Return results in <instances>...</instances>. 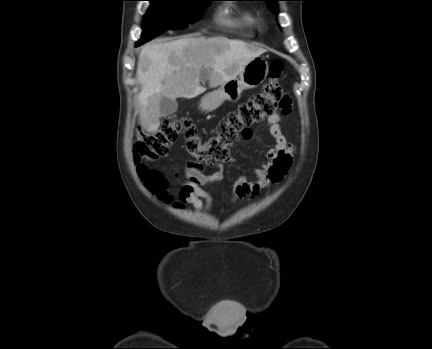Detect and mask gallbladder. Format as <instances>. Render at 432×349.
<instances>
[{
    "instance_id": "obj_1",
    "label": "gallbladder",
    "mask_w": 432,
    "mask_h": 349,
    "mask_svg": "<svg viewBox=\"0 0 432 349\" xmlns=\"http://www.w3.org/2000/svg\"><path fill=\"white\" fill-rule=\"evenodd\" d=\"M203 75L201 76V78ZM178 108V103L176 100L163 97L160 101V113L162 116H169L173 114Z\"/></svg>"
}]
</instances>
